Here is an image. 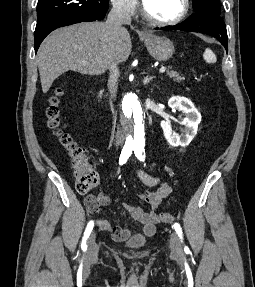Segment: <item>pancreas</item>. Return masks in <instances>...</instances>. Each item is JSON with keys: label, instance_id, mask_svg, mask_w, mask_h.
I'll list each match as a JSON object with an SVG mask.
<instances>
[{"label": "pancreas", "instance_id": "obj_1", "mask_svg": "<svg viewBox=\"0 0 255 287\" xmlns=\"http://www.w3.org/2000/svg\"><path fill=\"white\" fill-rule=\"evenodd\" d=\"M169 76L170 78H174V82H183L184 80V78H182L180 74H177V72H174V70H172V72H169Z\"/></svg>", "mask_w": 255, "mask_h": 287}]
</instances>
